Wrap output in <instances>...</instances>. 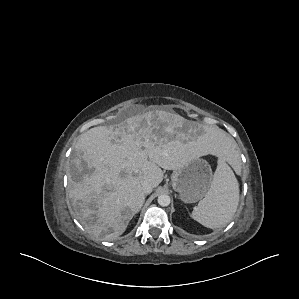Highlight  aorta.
<instances>
[{
  "mask_svg": "<svg viewBox=\"0 0 299 299\" xmlns=\"http://www.w3.org/2000/svg\"><path fill=\"white\" fill-rule=\"evenodd\" d=\"M157 201H158V204L160 206L165 207V206H168L170 204L171 199H170V196H168L166 194H161V195L158 196Z\"/></svg>",
  "mask_w": 299,
  "mask_h": 299,
  "instance_id": "762f6f07",
  "label": "aorta"
}]
</instances>
